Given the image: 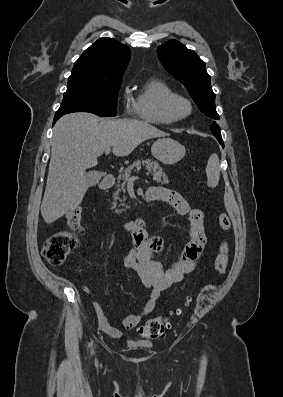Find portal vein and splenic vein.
Segmentation results:
<instances>
[{"instance_id": "obj_1", "label": "portal vein and splenic vein", "mask_w": 283, "mask_h": 397, "mask_svg": "<svg viewBox=\"0 0 283 397\" xmlns=\"http://www.w3.org/2000/svg\"><path fill=\"white\" fill-rule=\"evenodd\" d=\"M110 151H111V148H107V149L105 150V154L108 155V154L110 153ZM134 179H135V177L129 176V180H134Z\"/></svg>"}]
</instances>
